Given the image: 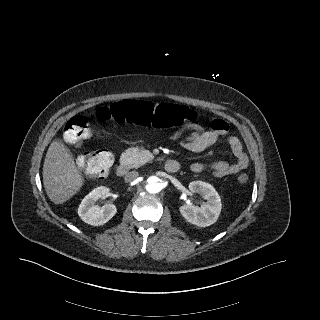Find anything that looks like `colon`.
<instances>
[{
    "mask_svg": "<svg viewBox=\"0 0 320 320\" xmlns=\"http://www.w3.org/2000/svg\"><path fill=\"white\" fill-rule=\"evenodd\" d=\"M100 121L134 123L155 128H168L180 126L185 122H193L196 114L183 106L162 103L155 105L148 101L127 99L111 105H105L96 111ZM89 120L82 115L70 118L65 126L63 138L68 144H78L90 136ZM113 155L107 150H98L86 153L79 158L82 170L94 178H104L113 165ZM239 183L249 180L245 173L237 177Z\"/></svg>",
    "mask_w": 320,
    "mask_h": 320,
    "instance_id": "obj_1",
    "label": "colon"
}]
</instances>
